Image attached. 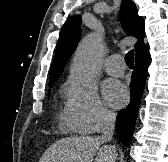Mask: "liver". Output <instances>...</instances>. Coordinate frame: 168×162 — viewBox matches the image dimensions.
Segmentation results:
<instances>
[{
  "label": "liver",
  "mask_w": 168,
  "mask_h": 162,
  "mask_svg": "<svg viewBox=\"0 0 168 162\" xmlns=\"http://www.w3.org/2000/svg\"><path fill=\"white\" fill-rule=\"evenodd\" d=\"M103 143L100 137L64 138L53 143L39 162H115L117 153Z\"/></svg>",
  "instance_id": "6515ba94"
}]
</instances>
